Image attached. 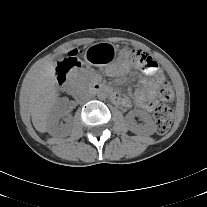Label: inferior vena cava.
I'll list each match as a JSON object with an SVG mask.
<instances>
[{
    "mask_svg": "<svg viewBox=\"0 0 207 207\" xmlns=\"http://www.w3.org/2000/svg\"><path fill=\"white\" fill-rule=\"evenodd\" d=\"M91 98H92V95H91V94L82 92V93H80V94L77 96L76 99H77V101L80 102V103H85V102L89 101Z\"/></svg>",
    "mask_w": 207,
    "mask_h": 207,
    "instance_id": "obj_1",
    "label": "inferior vena cava"
}]
</instances>
